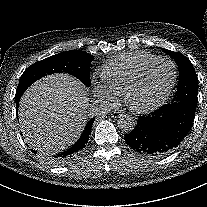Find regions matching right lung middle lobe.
<instances>
[{
    "label": "right lung middle lobe",
    "instance_id": "dd1d6c3e",
    "mask_svg": "<svg viewBox=\"0 0 207 207\" xmlns=\"http://www.w3.org/2000/svg\"><path fill=\"white\" fill-rule=\"evenodd\" d=\"M94 57L84 51H67L50 56L29 66L21 75L16 90V98L36 80L49 74L64 72L78 78L87 87L90 86V65Z\"/></svg>",
    "mask_w": 207,
    "mask_h": 207
}]
</instances>
